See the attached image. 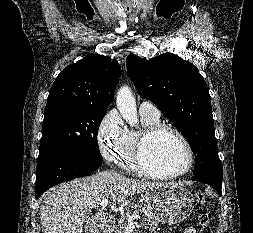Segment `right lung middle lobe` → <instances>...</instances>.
<instances>
[{"mask_svg": "<svg viewBox=\"0 0 253 233\" xmlns=\"http://www.w3.org/2000/svg\"><path fill=\"white\" fill-rule=\"evenodd\" d=\"M106 112L85 105L46 106L38 158L64 153L103 160L97 134Z\"/></svg>", "mask_w": 253, "mask_h": 233, "instance_id": "1", "label": "right lung middle lobe"}]
</instances>
